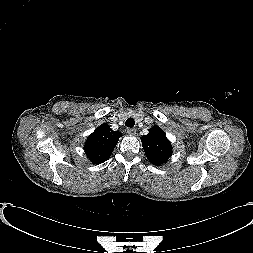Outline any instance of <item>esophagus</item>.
I'll list each match as a JSON object with an SVG mask.
<instances>
[{"instance_id":"esophagus-1","label":"esophagus","mask_w":253,"mask_h":253,"mask_svg":"<svg viewBox=\"0 0 253 253\" xmlns=\"http://www.w3.org/2000/svg\"><path fill=\"white\" fill-rule=\"evenodd\" d=\"M127 133L129 134V135H135L136 134V129H134V128H127Z\"/></svg>"}]
</instances>
